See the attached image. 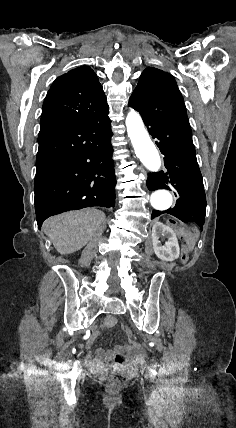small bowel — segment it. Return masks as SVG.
Here are the masks:
<instances>
[{
    "label": "small bowel",
    "instance_id": "1",
    "mask_svg": "<svg viewBox=\"0 0 236 428\" xmlns=\"http://www.w3.org/2000/svg\"><path fill=\"white\" fill-rule=\"evenodd\" d=\"M117 324L116 318L107 317L101 329L114 327ZM99 335L96 331L87 341V347H90L95 338ZM145 360V353L138 343H132L128 346H117L113 351H105L98 349L92 359H88V365L95 371H101L105 366L111 368H133L136 365L143 363Z\"/></svg>",
    "mask_w": 236,
    "mask_h": 428
}]
</instances>
